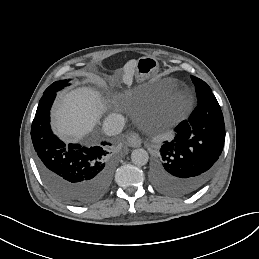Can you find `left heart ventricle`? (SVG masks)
Segmentation results:
<instances>
[{"instance_id": "obj_1", "label": "left heart ventricle", "mask_w": 259, "mask_h": 259, "mask_svg": "<svg viewBox=\"0 0 259 259\" xmlns=\"http://www.w3.org/2000/svg\"><path fill=\"white\" fill-rule=\"evenodd\" d=\"M175 85H178V86H180V87H182L181 85H179V84H175ZM183 88V87H182ZM184 89V88H183Z\"/></svg>"}]
</instances>
